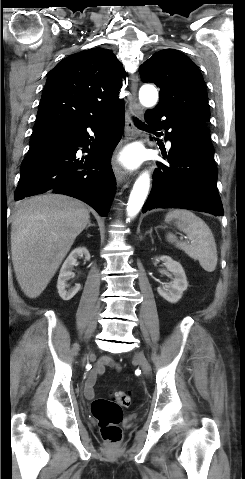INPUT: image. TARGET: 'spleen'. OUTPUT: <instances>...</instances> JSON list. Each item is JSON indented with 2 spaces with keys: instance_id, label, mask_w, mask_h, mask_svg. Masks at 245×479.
Segmentation results:
<instances>
[{
  "instance_id": "1",
  "label": "spleen",
  "mask_w": 245,
  "mask_h": 479,
  "mask_svg": "<svg viewBox=\"0 0 245 479\" xmlns=\"http://www.w3.org/2000/svg\"><path fill=\"white\" fill-rule=\"evenodd\" d=\"M176 220L177 227L187 234L190 243L178 241L173 234L167 235L169 242L183 250L190 258L198 260L207 272H213L217 265V248L209 226L189 210H171L166 220Z\"/></svg>"
}]
</instances>
